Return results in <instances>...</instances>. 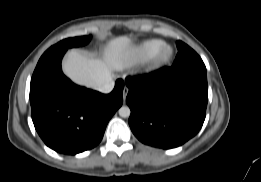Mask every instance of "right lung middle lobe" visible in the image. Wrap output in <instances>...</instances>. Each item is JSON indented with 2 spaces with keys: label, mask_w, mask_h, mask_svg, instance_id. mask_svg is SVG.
<instances>
[{
  "label": "right lung middle lobe",
  "mask_w": 261,
  "mask_h": 182,
  "mask_svg": "<svg viewBox=\"0 0 261 182\" xmlns=\"http://www.w3.org/2000/svg\"><path fill=\"white\" fill-rule=\"evenodd\" d=\"M91 35L89 36H81V37H74V38H68L60 41L59 43L51 46L42 56L51 53V52H56V51H61V50H67L68 48L71 47H79L87 44L90 39Z\"/></svg>",
  "instance_id": "dd1d6c3e"
}]
</instances>
